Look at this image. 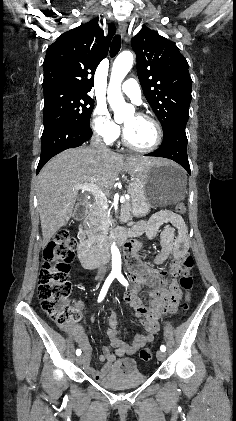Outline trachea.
<instances>
[{"instance_id": "3493384b", "label": "trachea", "mask_w": 236, "mask_h": 421, "mask_svg": "<svg viewBox=\"0 0 236 421\" xmlns=\"http://www.w3.org/2000/svg\"><path fill=\"white\" fill-rule=\"evenodd\" d=\"M121 48V36L119 34L115 35L110 47V57L113 58L117 55Z\"/></svg>"}]
</instances>
